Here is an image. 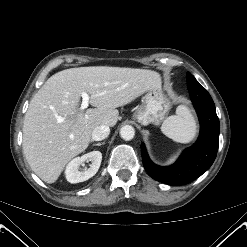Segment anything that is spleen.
Instances as JSON below:
<instances>
[{
	"instance_id": "1",
	"label": "spleen",
	"mask_w": 247,
	"mask_h": 247,
	"mask_svg": "<svg viewBox=\"0 0 247 247\" xmlns=\"http://www.w3.org/2000/svg\"><path fill=\"white\" fill-rule=\"evenodd\" d=\"M161 131L173 141L186 144L195 138L196 121L187 106L179 105L176 115L169 116L164 120Z\"/></svg>"
}]
</instances>
